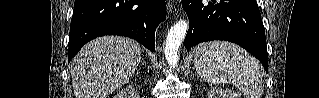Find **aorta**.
Returning a JSON list of instances; mask_svg holds the SVG:
<instances>
[{
	"label": "aorta",
	"mask_w": 319,
	"mask_h": 98,
	"mask_svg": "<svg viewBox=\"0 0 319 98\" xmlns=\"http://www.w3.org/2000/svg\"><path fill=\"white\" fill-rule=\"evenodd\" d=\"M187 30L188 22L186 20H179L168 32L164 54L168 64L172 67L178 64V50L186 36Z\"/></svg>",
	"instance_id": "aorta-1"
}]
</instances>
